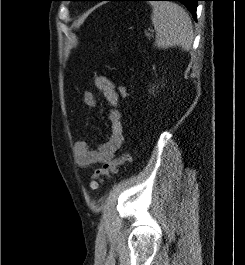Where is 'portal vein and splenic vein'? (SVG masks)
Instances as JSON below:
<instances>
[{
  "mask_svg": "<svg viewBox=\"0 0 245 265\" xmlns=\"http://www.w3.org/2000/svg\"><path fill=\"white\" fill-rule=\"evenodd\" d=\"M146 35H147V36H150V34H149V33H147Z\"/></svg>",
  "mask_w": 245,
  "mask_h": 265,
  "instance_id": "18ae733b",
  "label": "portal vein and splenic vein"
}]
</instances>
